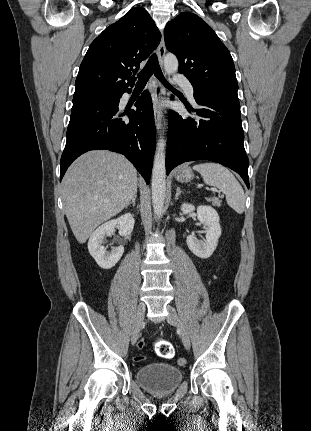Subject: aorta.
<instances>
[{
    "label": "aorta",
    "instance_id": "1",
    "mask_svg": "<svg viewBox=\"0 0 311 431\" xmlns=\"http://www.w3.org/2000/svg\"><path fill=\"white\" fill-rule=\"evenodd\" d=\"M164 70L166 74H175L178 70V60L174 54H167L164 60ZM166 140L164 134L160 136L156 144L152 168V206L155 216L160 217L166 196Z\"/></svg>",
    "mask_w": 311,
    "mask_h": 431
}]
</instances>
